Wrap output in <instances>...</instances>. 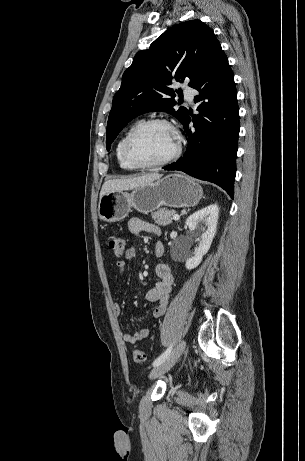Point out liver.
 <instances>
[{
	"instance_id": "liver-1",
	"label": "liver",
	"mask_w": 305,
	"mask_h": 461,
	"mask_svg": "<svg viewBox=\"0 0 305 461\" xmlns=\"http://www.w3.org/2000/svg\"><path fill=\"white\" fill-rule=\"evenodd\" d=\"M162 177L161 174L151 173L145 174L138 177L123 178V179H113L106 181L100 191V198L113 191H125L131 190L145 184L154 182Z\"/></svg>"
}]
</instances>
